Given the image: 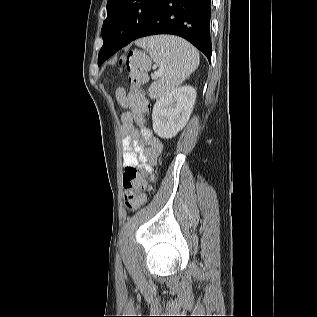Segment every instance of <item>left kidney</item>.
I'll use <instances>...</instances> for the list:
<instances>
[{
  "label": "left kidney",
  "mask_w": 317,
  "mask_h": 317,
  "mask_svg": "<svg viewBox=\"0 0 317 317\" xmlns=\"http://www.w3.org/2000/svg\"><path fill=\"white\" fill-rule=\"evenodd\" d=\"M196 99L192 86L175 88L159 98L152 112L153 130L160 138H173L187 124Z\"/></svg>",
  "instance_id": "1"
}]
</instances>
